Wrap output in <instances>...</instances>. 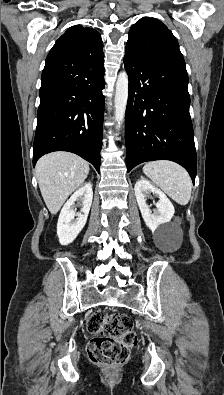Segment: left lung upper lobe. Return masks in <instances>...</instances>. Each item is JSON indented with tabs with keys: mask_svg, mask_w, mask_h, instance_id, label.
<instances>
[{
	"mask_svg": "<svg viewBox=\"0 0 224 395\" xmlns=\"http://www.w3.org/2000/svg\"><path fill=\"white\" fill-rule=\"evenodd\" d=\"M126 50L161 61L185 72V61L172 32L159 20L143 17L132 25Z\"/></svg>",
	"mask_w": 224,
	"mask_h": 395,
	"instance_id": "1",
	"label": "left lung upper lobe"
}]
</instances>
